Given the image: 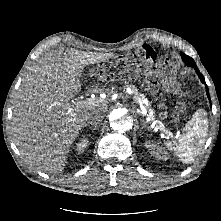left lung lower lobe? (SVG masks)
<instances>
[{"instance_id": "0a47b994", "label": "left lung lower lobe", "mask_w": 221, "mask_h": 221, "mask_svg": "<svg viewBox=\"0 0 221 221\" xmlns=\"http://www.w3.org/2000/svg\"><path fill=\"white\" fill-rule=\"evenodd\" d=\"M181 55H183V53H181ZM194 69L196 70V73L198 74V76H199L201 82H202V83H205V79H204L203 75L199 72V69L197 68V66H194ZM205 86H206L207 96H208V98H209V101H211V100H210V95H209V91H208L207 85H205Z\"/></svg>"}]
</instances>
